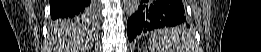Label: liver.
I'll return each instance as SVG.
<instances>
[{"label": "liver", "mask_w": 261, "mask_h": 52, "mask_svg": "<svg viewBox=\"0 0 261 52\" xmlns=\"http://www.w3.org/2000/svg\"><path fill=\"white\" fill-rule=\"evenodd\" d=\"M53 35H54V41H58V44L60 47H68L69 45L71 47H77L80 45V42L82 41V39H77V40H67L65 38V36H70L71 33H73V25H66V26H59V25H54L53 27Z\"/></svg>", "instance_id": "liver-1"}]
</instances>
